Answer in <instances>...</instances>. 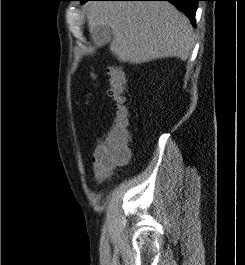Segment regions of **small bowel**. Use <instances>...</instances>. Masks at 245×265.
I'll list each match as a JSON object with an SVG mask.
<instances>
[{"mask_svg": "<svg viewBox=\"0 0 245 265\" xmlns=\"http://www.w3.org/2000/svg\"><path fill=\"white\" fill-rule=\"evenodd\" d=\"M100 142H101V141H99V143H100ZM99 143H98V144H99ZM98 144H97V145H98ZM92 161H93L94 171H95V174H96L97 178L100 179V180L104 179V178L108 175V172H107V171H104V170H101V169H99V168H97V167L95 166L94 159H92Z\"/></svg>", "mask_w": 245, "mask_h": 265, "instance_id": "c3829d8e", "label": "small bowel"}]
</instances>
